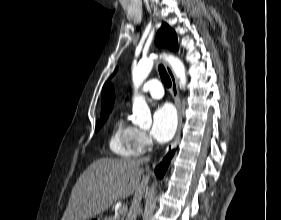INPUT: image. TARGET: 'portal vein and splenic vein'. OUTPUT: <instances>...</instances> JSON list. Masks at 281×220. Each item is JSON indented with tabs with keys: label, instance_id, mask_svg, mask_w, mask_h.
I'll return each mask as SVG.
<instances>
[{
	"label": "portal vein and splenic vein",
	"instance_id": "18ae733b",
	"mask_svg": "<svg viewBox=\"0 0 281 220\" xmlns=\"http://www.w3.org/2000/svg\"><path fill=\"white\" fill-rule=\"evenodd\" d=\"M127 210V208L125 206L120 207L119 212L120 213H124Z\"/></svg>",
	"mask_w": 281,
	"mask_h": 220
}]
</instances>
